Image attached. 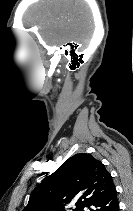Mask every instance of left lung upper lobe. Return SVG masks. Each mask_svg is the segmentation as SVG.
<instances>
[{
    "mask_svg": "<svg viewBox=\"0 0 133 211\" xmlns=\"http://www.w3.org/2000/svg\"><path fill=\"white\" fill-rule=\"evenodd\" d=\"M114 187L105 166L90 154L79 153L66 160L31 193L23 211H72L93 207ZM91 210V209H90Z\"/></svg>",
    "mask_w": 133,
    "mask_h": 211,
    "instance_id": "obj_1",
    "label": "left lung upper lobe"
}]
</instances>
